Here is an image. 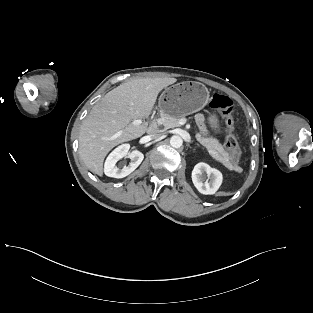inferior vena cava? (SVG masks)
<instances>
[{
    "label": "inferior vena cava",
    "instance_id": "1",
    "mask_svg": "<svg viewBox=\"0 0 313 313\" xmlns=\"http://www.w3.org/2000/svg\"><path fill=\"white\" fill-rule=\"evenodd\" d=\"M161 135H162V132L159 130H150L149 131V136L152 139H156V138L160 137Z\"/></svg>",
    "mask_w": 313,
    "mask_h": 313
}]
</instances>
